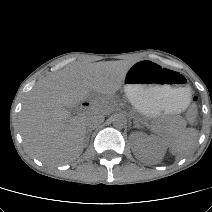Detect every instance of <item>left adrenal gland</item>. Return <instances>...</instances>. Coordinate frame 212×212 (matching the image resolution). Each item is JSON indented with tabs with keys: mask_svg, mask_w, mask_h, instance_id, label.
<instances>
[{
	"mask_svg": "<svg viewBox=\"0 0 212 212\" xmlns=\"http://www.w3.org/2000/svg\"><path fill=\"white\" fill-rule=\"evenodd\" d=\"M135 127L139 128L140 126L136 123V124H135Z\"/></svg>",
	"mask_w": 212,
	"mask_h": 212,
	"instance_id": "1",
	"label": "left adrenal gland"
}]
</instances>
